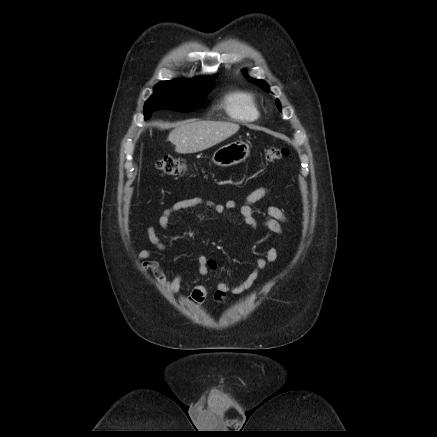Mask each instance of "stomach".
<instances>
[{"label":"stomach","instance_id":"stomach-1","mask_svg":"<svg viewBox=\"0 0 437 437\" xmlns=\"http://www.w3.org/2000/svg\"><path fill=\"white\" fill-rule=\"evenodd\" d=\"M250 155V147L245 142H232L217 149L212 161L221 167H228L245 161Z\"/></svg>","mask_w":437,"mask_h":437}]
</instances>
